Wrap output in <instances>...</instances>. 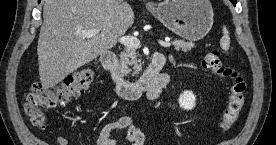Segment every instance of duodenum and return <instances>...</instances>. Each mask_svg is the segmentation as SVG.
Returning a JSON list of instances; mask_svg holds the SVG:
<instances>
[{
  "instance_id": "410a0bca",
  "label": "duodenum",
  "mask_w": 276,
  "mask_h": 145,
  "mask_svg": "<svg viewBox=\"0 0 276 145\" xmlns=\"http://www.w3.org/2000/svg\"><path fill=\"white\" fill-rule=\"evenodd\" d=\"M100 61L103 68L111 74L117 94L126 100H137L143 93L160 92L168 82V75L161 72L166 63V57L160 52L153 55L148 67L135 82H130L124 77L113 51H104Z\"/></svg>"
}]
</instances>
